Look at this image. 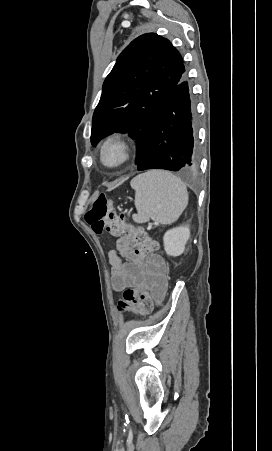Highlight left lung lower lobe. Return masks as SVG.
Segmentation results:
<instances>
[{"label": "left lung lower lobe", "mask_w": 272, "mask_h": 451, "mask_svg": "<svg viewBox=\"0 0 272 451\" xmlns=\"http://www.w3.org/2000/svg\"><path fill=\"white\" fill-rule=\"evenodd\" d=\"M193 105L186 74L167 98L137 169L190 171L197 166Z\"/></svg>", "instance_id": "1"}]
</instances>
